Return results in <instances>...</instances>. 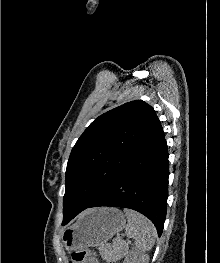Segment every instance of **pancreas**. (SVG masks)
<instances>
[{
	"label": "pancreas",
	"instance_id": "cf45deb5",
	"mask_svg": "<svg viewBox=\"0 0 220 263\" xmlns=\"http://www.w3.org/2000/svg\"><path fill=\"white\" fill-rule=\"evenodd\" d=\"M123 245L120 243H114L113 245H105L99 248L102 258L110 261H115L122 256Z\"/></svg>",
	"mask_w": 220,
	"mask_h": 263
}]
</instances>
